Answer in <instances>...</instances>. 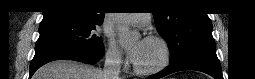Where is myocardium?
Wrapping results in <instances>:
<instances>
[{"label":"myocardium","instance_id":"1","mask_svg":"<svg viewBox=\"0 0 255 79\" xmlns=\"http://www.w3.org/2000/svg\"><path fill=\"white\" fill-rule=\"evenodd\" d=\"M146 41H152V42H156L161 46L162 49V59L161 61L158 63V65H156L153 68H149V69H144V68H140L139 66H137V64L134 62L133 63V69L137 74L140 75H151V74H156L161 72L163 69H165L171 59V50L170 47L167 43V41L165 39H163L160 36L157 35H149L145 38Z\"/></svg>","mask_w":255,"mask_h":79}]
</instances>
